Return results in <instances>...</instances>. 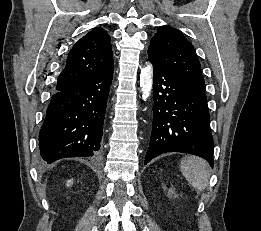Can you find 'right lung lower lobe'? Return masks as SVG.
Here are the masks:
<instances>
[{
  "label": "right lung lower lobe",
  "mask_w": 261,
  "mask_h": 231,
  "mask_svg": "<svg viewBox=\"0 0 261 231\" xmlns=\"http://www.w3.org/2000/svg\"><path fill=\"white\" fill-rule=\"evenodd\" d=\"M113 70L52 96L39 133L43 163L100 153Z\"/></svg>",
  "instance_id": "98d812e1"
}]
</instances>
